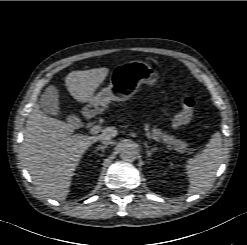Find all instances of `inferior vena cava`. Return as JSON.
<instances>
[{
    "instance_id": "inferior-vena-cava-1",
    "label": "inferior vena cava",
    "mask_w": 247,
    "mask_h": 245,
    "mask_svg": "<svg viewBox=\"0 0 247 245\" xmlns=\"http://www.w3.org/2000/svg\"><path fill=\"white\" fill-rule=\"evenodd\" d=\"M102 144L103 145H113L114 142L110 138H104L102 139Z\"/></svg>"
}]
</instances>
